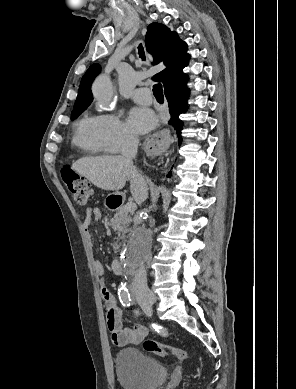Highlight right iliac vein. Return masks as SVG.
<instances>
[{
    "label": "right iliac vein",
    "instance_id": "obj_1",
    "mask_svg": "<svg viewBox=\"0 0 296 389\" xmlns=\"http://www.w3.org/2000/svg\"><path fill=\"white\" fill-rule=\"evenodd\" d=\"M144 301L148 303H154L156 301V298L154 296L146 298Z\"/></svg>",
    "mask_w": 296,
    "mask_h": 389
}]
</instances>
